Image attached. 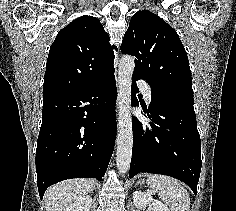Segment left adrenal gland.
Wrapping results in <instances>:
<instances>
[{
	"instance_id": "1",
	"label": "left adrenal gland",
	"mask_w": 236,
	"mask_h": 211,
	"mask_svg": "<svg viewBox=\"0 0 236 211\" xmlns=\"http://www.w3.org/2000/svg\"><path fill=\"white\" fill-rule=\"evenodd\" d=\"M143 182L141 181V180H139V181H137L136 183H135V186H137L138 184H142Z\"/></svg>"
}]
</instances>
